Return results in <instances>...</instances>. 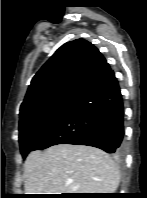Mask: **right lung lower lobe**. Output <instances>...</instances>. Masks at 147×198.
I'll return each instance as SVG.
<instances>
[{
	"label": "right lung lower lobe",
	"instance_id": "obj_1",
	"mask_svg": "<svg viewBox=\"0 0 147 198\" xmlns=\"http://www.w3.org/2000/svg\"><path fill=\"white\" fill-rule=\"evenodd\" d=\"M123 120L122 95L114 72L110 69L95 86L75 101L33 151L57 144H77L97 147L121 157Z\"/></svg>",
	"mask_w": 147,
	"mask_h": 198
}]
</instances>
